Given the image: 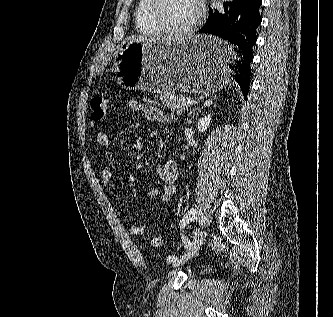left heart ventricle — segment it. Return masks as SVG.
Instances as JSON below:
<instances>
[{
  "mask_svg": "<svg viewBox=\"0 0 333 317\" xmlns=\"http://www.w3.org/2000/svg\"><path fill=\"white\" fill-rule=\"evenodd\" d=\"M160 13L170 25L178 28L186 27L196 17V0H161Z\"/></svg>",
  "mask_w": 333,
  "mask_h": 317,
  "instance_id": "b2bd125f",
  "label": "left heart ventricle"
}]
</instances>
